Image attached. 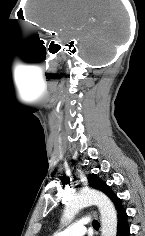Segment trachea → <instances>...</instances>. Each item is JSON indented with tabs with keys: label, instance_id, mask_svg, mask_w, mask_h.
I'll return each mask as SVG.
<instances>
[{
	"label": "trachea",
	"instance_id": "3493384b",
	"mask_svg": "<svg viewBox=\"0 0 145 236\" xmlns=\"http://www.w3.org/2000/svg\"><path fill=\"white\" fill-rule=\"evenodd\" d=\"M92 225H93L94 228H99L100 227V224L97 220H94Z\"/></svg>",
	"mask_w": 145,
	"mask_h": 236
}]
</instances>
